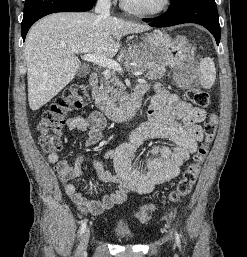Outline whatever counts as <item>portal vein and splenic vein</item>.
<instances>
[{
	"label": "portal vein and splenic vein",
	"instance_id": "18ae733b",
	"mask_svg": "<svg viewBox=\"0 0 247 257\" xmlns=\"http://www.w3.org/2000/svg\"><path fill=\"white\" fill-rule=\"evenodd\" d=\"M85 61H89L92 62L100 67H104L107 69H111L114 71H118L119 73L122 72V68L119 65V63H117L116 61L110 59V58H106L103 56H99L96 54H88V55H84L82 57ZM135 76H141L143 74V72L138 71V72H134L133 73Z\"/></svg>",
	"mask_w": 247,
	"mask_h": 257
}]
</instances>
